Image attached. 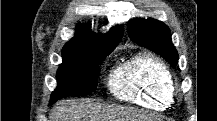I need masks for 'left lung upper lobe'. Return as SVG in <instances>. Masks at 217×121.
<instances>
[{
  "label": "left lung upper lobe",
  "instance_id": "left-lung-upper-lobe-1",
  "mask_svg": "<svg viewBox=\"0 0 217 121\" xmlns=\"http://www.w3.org/2000/svg\"><path fill=\"white\" fill-rule=\"evenodd\" d=\"M130 38L140 46L146 47L162 56L173 68L178 64V53L166 24L152 18H136L128 23Z\"/></svg>",
  "mask_w": 217,
  "mask_h": 121
}]
</instances>
